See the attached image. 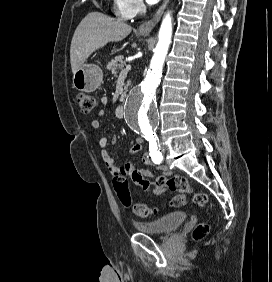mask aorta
Instances as JSON below:
<instances>
[{"label": "aorta", "mask_w": 272, "mask_h": 282, "mask_svg": "<svg viewBox=\"0 0 272 282\" xmlns=\"http://www.w3.org/2000/svg\"><path fill=\"white\" fill-rule=\"evenodd\" d=\"M172 37V18L167 13L163 18L158 43L146 77L134 86L126 99L125 118L128 125L147 139L156 137L158 110L155 102L156 90L160 84L163 64Z\"/></svg>", "instance_id": "aorta-1"}]
</instances>
